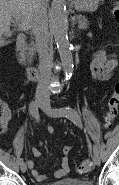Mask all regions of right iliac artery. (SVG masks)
I'll return each instance as SVG.
<instances>
[{"label":"right iliac artery","instance_id":"1","mask_svg":"<svg viewBox=\"0 0 119 185\" xmlns=\"http://www.w3.org/2000/svg\"><path fill=\"white\" fill-rule=\"evenodd\" d=\"M29 111H30V114L32 115L31 117L35 118L34 119L36 121L35 123L39 124L40 122L38 121L39 119L37 118L39 114H38V107H37L36 102L30 103ZM18 162H19V164H21L23 162V158H19Z\"/></svg>","mask_w":119,"mask_h":185}]
</instances>
